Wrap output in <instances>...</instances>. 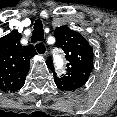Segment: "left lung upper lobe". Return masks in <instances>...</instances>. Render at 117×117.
Segmentation results:
<instances>
[{
  "mask_svg": "<svg viewBox=\"0 0 117 117\" xmlns=\"http://www.w3.org/2000/svg\"><path fill=\"white\" fill-rule=\"evenodd\" d=\"M56 45L66 53L67 73L57 77L53 69L51 57L47 65L54 73L55 83L62 91H75L81 88L90 76L93 69V49L87 40L78 32L67 26L55 29Z\"/></svg>",
  "mask_w": 117,
  "mask_h": 117,
  "instance_id": "obj_1",
  "label": "left lung upper lobe"
}]
</instances>
